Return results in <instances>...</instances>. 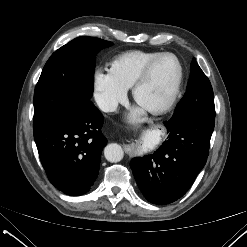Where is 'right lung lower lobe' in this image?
<instances>
[{
	"instance_id": "right-lung-lower-lobe-1",
	"label": "right lung lower lobe",
	"mask_w": 247,
	"mask_h": 247,
	"mask_svg": "<svg viewBox=\"0 0 247 247\" xmlns=\"http://www.w3.org/2000/svg\"><path fill=\"white\" fill-rule=\"evenodd\" d=\"M102 125L100 111L90 100H84L34 131L46 174L63 193L78 196L93 186L107 144Z\"/></svg>"
}]
</instances>
